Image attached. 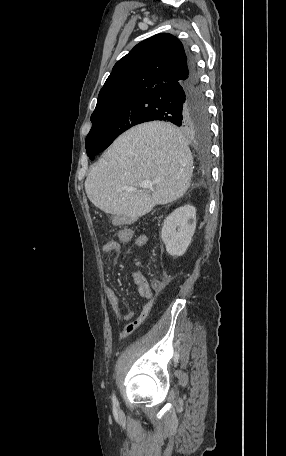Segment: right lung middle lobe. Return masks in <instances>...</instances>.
<instances>
[{
  "label": "right lung middle lobe",
  "mask_w": 286,
  "mask_h": 456,
  "mask_svg": "<svg viewBox=\"0 0 286 456\" xmlns=\"http://www.w3.org/2000/svg\"><path fill=\"white\" fill-rule=\"evenodd\" d=\"M137 95L121 98L97 109L91 115L93 126L86 137L85 146L91 160L105 150L121 133L142 123V106ZM191 130L207 138L209 135L208 116Z\"/></svg>",
  "instance_id": "1"
}]
</instances>
